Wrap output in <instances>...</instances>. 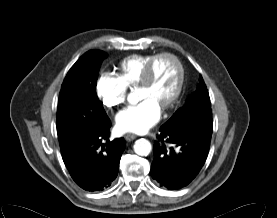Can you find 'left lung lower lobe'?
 Segmentation results:
<instances>
[{"label": "left lung lower lobe", "instance_id": "left-lung-lower-lobe-1", "mask_svg": "<svg viewBox=\"0 0 277 218\" xmlns=\"http://www.w3.org/2000/svg\"><path fill=\"white\" fill-rule=\"evenodd\" d=\"M211 135L212 125H162L153 146V179L169 190L188 185L206 161Z\"/></svg>", "mask_w": 277, "mask_h": 218}]
</instances>
